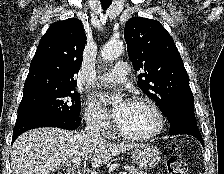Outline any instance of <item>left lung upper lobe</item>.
Instances as JSON below:
<instances>
[{
  "mask_svg": "<svg viewBox=\"0 0 224 174\" xmlns=\"http://www.w3.org/2000/svg\"><path fill=\"white\" fill-rule=\"evenodd\" d=\"M129 58L138 86L171 117L180 106L194 105L189 77L172 37L155 20L133 17L124 29Z\"/></svg>",
  "mask_w": 224,
  "mask_h": 174,
  "instance_id": "obj_1",
  "label": "left lung upper lobe"
}]
</instances>
